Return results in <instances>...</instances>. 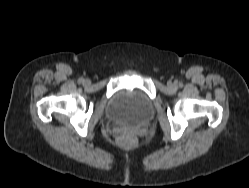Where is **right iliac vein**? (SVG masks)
<instances>
[{"label": "right iliac vein", "instance_id": "63e3f726", "mask_svg": "<svg viewBox=\"0 0 249 188\" xmlns=\"http://www.w3.org/2000/svg\"><path fill=\"white\" fill-rule=\"evenodd\" d=\"M83 83H84L85 85H89V84H90V80L86 79V80H84Z\"/></svg>", "mask_w": 249, "mask_h": 188}]
</instances>
